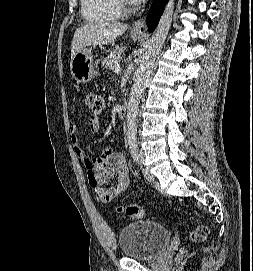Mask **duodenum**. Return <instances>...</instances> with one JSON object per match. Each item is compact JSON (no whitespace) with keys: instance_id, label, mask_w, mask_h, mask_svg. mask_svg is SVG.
Segmentation results:
<instances>
[{"instance_id":"1","label":"duodenum","mask_w":253,"mask_h":271,"mask_svg":"<svg viewBox=\"0 0 253 271\" xmlns=\"http://www.w3.org/2000/svg\"><path fill=\"white\" fill-rule=\"evenodd\" d=\"M128 106L126 103L122 104L118 110V116L119 118H125L127 114Z\"/></svg>"}]
</instances>
